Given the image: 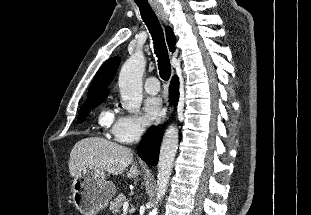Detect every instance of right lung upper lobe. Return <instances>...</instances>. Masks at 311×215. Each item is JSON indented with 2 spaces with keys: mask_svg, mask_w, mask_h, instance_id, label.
Returning a JSON list of instances; mask_svg holds the SVG:
<instances>
[{
  "mask_svg": "<svg viewBox=\"0 0 311 215\" xmlns=\"http://www.w3.org/2000/svg\"><path fill=\"white\" fill-rule=\"evenodd\" d=\"M166 39L170 51L175 50L176 38L170 27H166ZM120 59L117 57L110 58L101 66V68L96 73L87 94L88 99L107 96L109 90L107 86L110 84L114 78L117 68L119 66Z\"/></svg>",
  "mask_w": 311,
  "mask_h": 215,
  "instance_id": "1",
  "label": "right lung upper lobe"
}]
</instances>
